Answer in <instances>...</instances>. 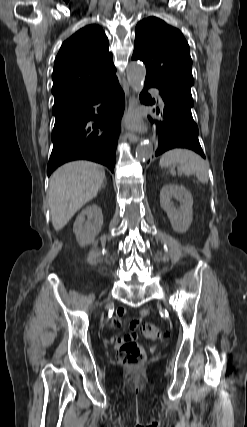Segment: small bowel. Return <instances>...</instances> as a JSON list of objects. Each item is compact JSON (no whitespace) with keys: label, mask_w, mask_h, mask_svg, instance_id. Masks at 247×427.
Segmentation results:
<instances>
[{"label":"small bowel","mask_w":247,"mask_h":427,"mask_svg":"<svg viewBox=\"0 0 247 427\" xmlns=\"http://www.w3.org/2000/svg\"><path fill=\"white\" fill-rule=\"evenodd\" d=\"M126 311L123 308H119L116 313H115V317L114 320L112 322V326H119L121 324L122 321V317L125 315ZM149 314L147 309H141L139 311V317L132 320L129 324V329H130V333L124 337H118V336H113L110 338V342H112L115 345H121L125 342H130V341H134L137 338V329L138 326L141 322V319L146 317Z\"/></svg>","instance_id":"1"}]
</instances>
